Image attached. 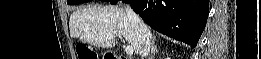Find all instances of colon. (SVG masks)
Masks as SVG:
<instances>
[{
    "instance_id": "1",
    "label": "colon",
    "mask_w": 261,
    "mask_h": 59,
    "mask_svg": "<svg viewBox=\"0 0 261 59\" xmlns=\"http://www.w3.org/2000/svg\"><path fill=\"white\" fill-rule=\"evenodd\" d=\"M77 54L79 59H98L96 52L84 44L77 47Z\"/></svg>"
}]
</instances>
